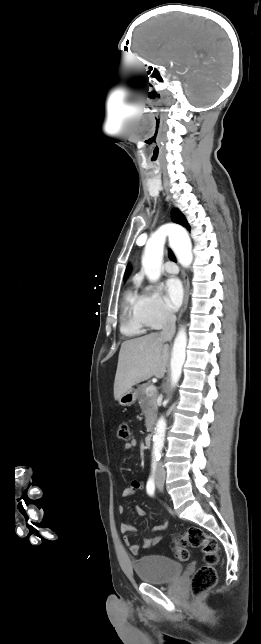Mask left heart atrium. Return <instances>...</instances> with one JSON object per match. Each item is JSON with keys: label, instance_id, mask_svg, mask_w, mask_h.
Returning a JSON list of instances; mask_svg holds the SVG:
<instances>
[{"label": "left heart atrium", "instance_id": "1", "mask_svg": "<svg viewBox=\"0 0 261 644\" xmlns=\"http://www.w3.org/2000/svg\"><path fill=\"white\" fill-rule=\"evenodd\" d=\"M166 305L171 311H176L183 300V287L178 278H170L165 285Z\"/></svg>", "mask_w": 261, "mask_h": 644}]
</instances>
